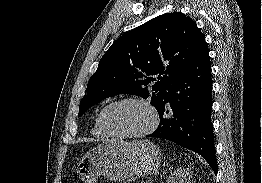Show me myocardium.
Instances as JSON below:
<instances>
[{
  "label": "myocardium",
  "instance_id": "obj_1",
  "mask_svg": "<svg viewBox=\"0 0 262 183\" xmlns=\"http://www.w3.org/2000/svg\"><path fill=\"white\" fill-rule=\"evenodd\" d=\"M125 103L140 104L149 110L151 117H152V121L148 128H146L145 130L141 132L131 133V134H117L108 129L104 121L106 112L114 106L125 104ZM98 123H99L101 130L108 137L115 138V139H139V138L148 136L149 134L153 133L157 129L159 125V114L155 106L150 101L146 99H142V98H137V97H126V98H122V99L113 101L109 103L108 105H106L99 113Z\"/></svg>",
  "mask_w": 262,
  "mask_h": 183
}]
</instances>
